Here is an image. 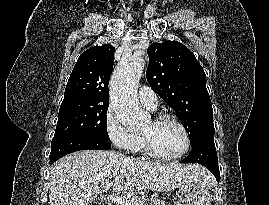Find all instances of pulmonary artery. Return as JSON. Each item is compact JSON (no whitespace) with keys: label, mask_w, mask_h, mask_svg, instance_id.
<instances>
[{"label":"pulmonary artery","mask_w":269,"mask_h":205,"mask_svg":"<svg viewBox=\"0 0 269 205\" xmlns=\"http://www.w3.org/2000/svg\"><path fill=\"white\" fill-rule=\"evenodd\" d=\"M139 99L141 103L149 110H156L158 98L156 93L149 87L143 86L139 89Z\"/></svg>","instance_id":"e3ab8cb5"}]
</instances>
